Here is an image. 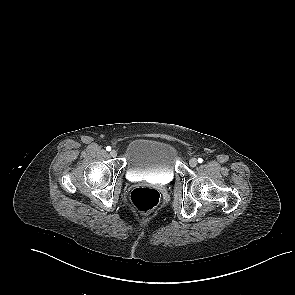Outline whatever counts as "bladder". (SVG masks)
I'll list each match as a JSON object with an SVG mask.
<instances>
[{"mask_svg": "<svg viewBox=\"0 0 295 295\" xmlns=\"http://www.w3.org/2000/svg\"><path fill=\"white\" fill-rule=\"evenodd\" d=\"M176 161L174 145L160 139H135L126 149V171L132 177L171 181L175 175Z\"/></svg>", "mask_w": 295, "mask_h": 295, "instance_id": "1", "label": "bladder"}]
</instances>
